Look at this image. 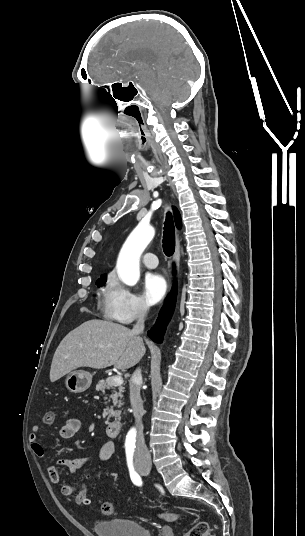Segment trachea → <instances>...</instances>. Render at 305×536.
Wrapping results in <instances>:
<instances>
[{
  "instance_id": "1",
  "label": "trachea",
  "mask_w": 305,
  "mask_h": 536,
  "mask_svg": "<svg viewBox=\"0 0 305 536\" xmlns=\"http://www.w3.org/2000/svg\"><path fill=\"white\" fill-rule=\"evenodd\" d=\"M162 243L165 255L172 256L175 251V226L171 213L166 215Z\"/></svg>"
}]
</instances>
